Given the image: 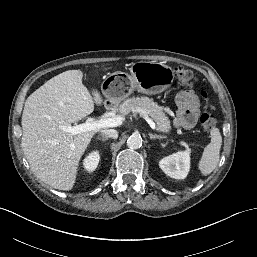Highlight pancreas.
Segmentation results:
<instances>
[{
  "instance_id": "obj_1",
  "label": "pancreas",
  "mask_w": 257,
  "mask_h": 257,
  "mask_svg": "<svg viewBox=\"0 0 257 257\" xmlns=\"http://www.w3.org/2000/svg\"><path fill=\"white\" fill-rule=\"evenodd\" d=\"M119 111L123 114L143 112L156 122L158 131L169 133L172 129L171 122L162 107L148 97L129 98L120 105Z\"/></svg>"
}]
</instances>
